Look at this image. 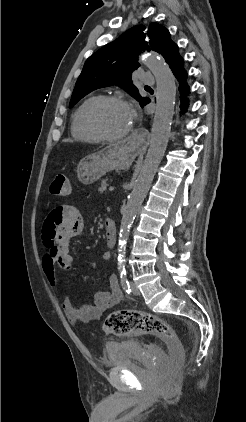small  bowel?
Here are the masks:
<instances>
[{
	"label": "small bowel",
	"instance_id": "obj_1",
	"mask_svg": "<svg viewBox=\"0 0 246 422\" xmlns=\"http://www.w3.org/2000/svg\"><path fill=\"white\" fill-rule=\"evenodd\" d=\"M84 228V219L80 209L72 204L54 208L45 218L42 226V239L46 248L43 257V270L53 287L59 283L58 270L70 269L74 260L69 253L70 240L79 235ZM108 252L103 254V259L109 261ZM91 267L95 262L90 263ZM123 294L116 275L109 277V290L98 291L90 303L83 305L74 304L68 297L62 300V308L72 322L87 323L98 320L110 308L119 304Z\"/></svg>",
	"mask_w": 246,
	"mask_h": 422
}]
</instances>
